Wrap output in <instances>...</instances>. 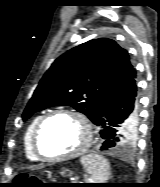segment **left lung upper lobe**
Wrapping results in <instances>:
<instances>
[{"mask_svg":"<svg viewBox=\"0 0 160 187\" xmlns=\"http://www.w3.org/2000/svg\"><path fill=\"white\" fill-rule=\"evenodd\" d=\"M134 68L128 52L114 40H90L57 58L40 80L23 120L52 106L68 105L85 114L93 123L104 99L122 85ZM137 125L128 144L136 137Z\"/></svg>","mask_w":160,"mask_h":187,"instance_id":"left-lung-upper-lobe-1","label":"left lung upper lobe"}]
</instances>
